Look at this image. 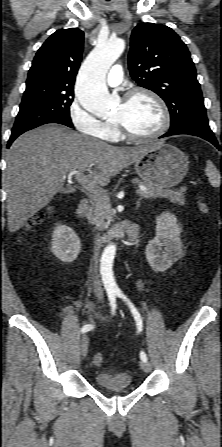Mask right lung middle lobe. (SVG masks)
Here are the masks:
<instances>
[{
	"mask_svg": "<svg viewBox=\"0 0 222 447\" xmlns=\"http://www.w3.org/2000/svg\"><path fill=\"white\" fill-rule=\"evenodd\" d=\"M73 88L36 86L26 88L12 134H19L55 121L71 122Z\"/></svg>",
	"mask_w": 222,
	"mask_h": 447,
	"instance_id": "1",
	"label": "right lung middle lobe"
}]
</instances>
